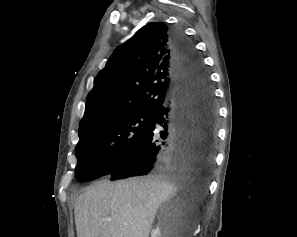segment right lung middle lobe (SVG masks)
I'll use <instances>...</instances> for the list:
<instances>
[{"mask_svg": "<svg viewBox=\"0 0 297 237\" xmlns=\"http://www.w3.org/2000/svg\"><path fill=\"white\" fill-rule=\"evenodd\" d=\"M154 112H136L98 121L79 133L75 149L78 181L107 175L113 165L148 133Z\"/></svg>", "mask_w": 297, "mask_h": 237, "instance_id": "dd1d6c3e", "label": "right lung middle lobe"}]
</instances>
